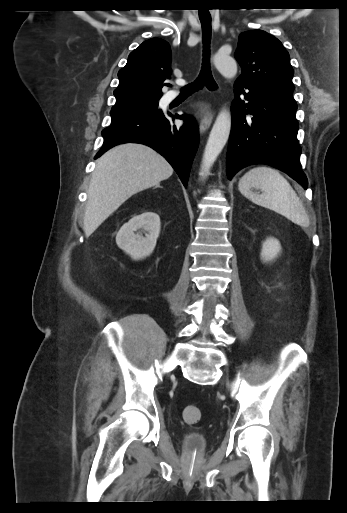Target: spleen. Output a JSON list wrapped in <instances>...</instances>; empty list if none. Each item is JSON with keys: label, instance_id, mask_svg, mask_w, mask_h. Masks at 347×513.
<instances>
[{"label": "spleen", "instance_id": "spleen-1", "mask_svg": "<svg viewBox=\"0 0 347 513\" xmlns=\"http://www.w3.org/2000/svg\"><path fill=\"white\" fill-rule=\"evenodd\" d=\"M238 188L251 202L273 210L300 226H308L309 217L301 200L279 171L266 166L253 168L239 180Z\"/></svg>", "mask_w": 347, "mask_h": 513}]
</instances>
